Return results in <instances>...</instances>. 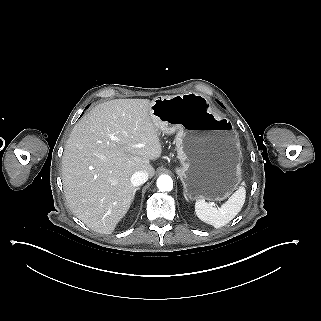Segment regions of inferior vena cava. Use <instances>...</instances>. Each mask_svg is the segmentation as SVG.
Here are the masks:
<instances>
[{
    "instance_id": "1",
    "label": "inferior vena cava",
    "mask_w": 321,
    "mask_h": 321,
    "mask_svg": "<svg viewBox=\"0 0 321 321\" xmlns=\"http://www.w3.org/2000/svg\"><path fill=\"white\" fill-rule=\"evenodd\" d=\"M148 173L145 171H137L131 176V183L133 186H140L148 180Z\"/></svg>"
}]
</instances>
